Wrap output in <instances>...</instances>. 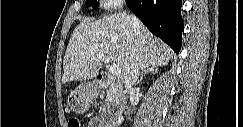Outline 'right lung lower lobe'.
I'll return each instance as SVG.
<instances>
[{
  "instance_id": "obj_1",
  "label": "right lung lower lobe",
  "mask_w": 243,
  "mask_h": 127,
  "mask_svg": "<svg viewBox=\"0 0 243 127\" xmlns=\"http://www.w3.org/2000/svg\"><path fill=\"white\" fill-rule=\"evenodd\" d=\"M128 7L157 37L175 52L182 45L181 0H127Z\"/></svg>"
}]
</instances>
